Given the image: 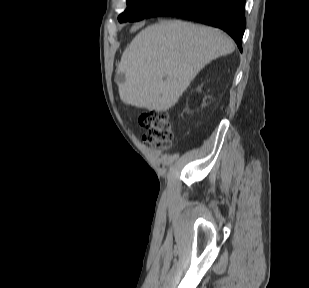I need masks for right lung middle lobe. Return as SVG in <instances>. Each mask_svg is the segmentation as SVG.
<instances>
[{
  "mask_svg": "<svg viewBox=\"0 0 309 288\" xmlns=\"http://www.w3.org/2000/svg\"><path fill=\"white\" fill-rule=\"evenodd\" d=\"M167 1L168 0H127V9L119 15L118 20L120 23L142 20Z\"/></svg>",
  "mask_w": 309,
  "mask_h": 288,
  "instance_id": "1",
  "label": "right lung middle lobe"
}]
</instances>
